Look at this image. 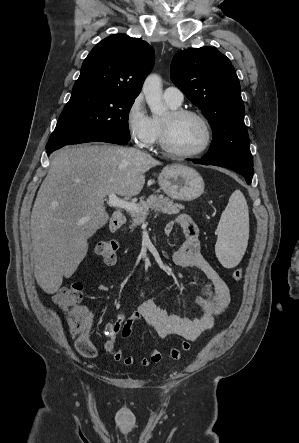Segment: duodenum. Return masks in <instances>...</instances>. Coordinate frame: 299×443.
I'll return each instance as SVG.
<instances>
[{
	"mask_svg": "<svg viewBox=\"0 0 299 443\" xmlns=\"http://www.w3.org/2000/svg\"><path fill=\"white\" fill-rule=\"evenodd\" d=\"M125 221L126 218L123 213L121 212L114 213L109 223L111 231L113 232L117 231L125 223Z\"/></svg>",
	"mask_w": 299,
	"mask_h": 443,
	"instance_id": "410a0bca",
	"label": "duodenum"
}]
</instances>
